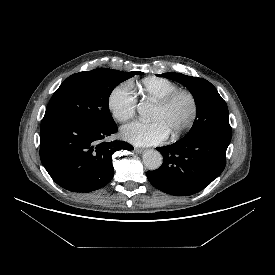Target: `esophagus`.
<instances>
[{
    "label": "esophagus",
    "instance_id": "esophagus-1",
    "mask_svg": "<svg viewBox=\"0 0 275 275\" xmlns=\"http://www.w3.org/2000/svg\"><path fill=\"white\" fill-rule=\"evenodd\" d=\"M134 150H135L136 153H139V154L142 153V152H144L143 148L135 147Z\"/></svg>",
    "mask_w": 275,
    "mask_h": 275
}]
</instances>
